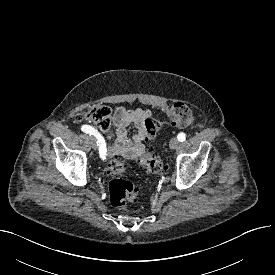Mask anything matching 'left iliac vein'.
<instances>
[{
  "label": "left iliac vein",
  "instance_id": "4c4485c4",
  "mask_svg": "<svg viewBox=\"0 0 275 275\" xmlns=\"http://www.w3.org/2000/svg\"><path fill=\"white\" fill-rule=\"evenodd\" d=\"M179 145V140L177 138H172L170 143H169V146L172 150L176 149Z\"/></svg>",
  "mask_w": 275,
  "mask_h": 275
}]
</instances>
